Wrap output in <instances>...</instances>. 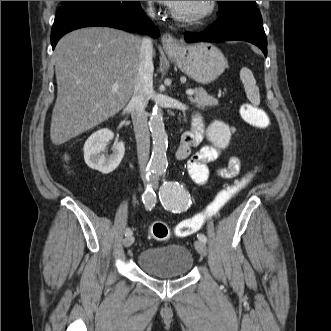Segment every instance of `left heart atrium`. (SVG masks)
I'll list each match as a JSON object with an SVG mask.
<instances>
[{
  "label": "left heart atrium",
  "mask_w": 331,
  "mask_h": 331,
  "mask_svg": "<svg viewBox=\"0 0 331 331\" xmlns=\"http://www.w3.org/2000/svg\"><path fill=\"white\" fill-rule=\"evenodd\" d=\"M171 7H175L179 1H158Z\"/></svg>",
  "instance_id": "left-heart-atrium-1"
}]
</instances>
